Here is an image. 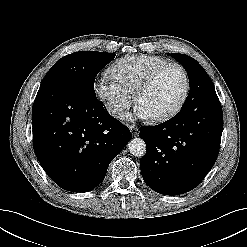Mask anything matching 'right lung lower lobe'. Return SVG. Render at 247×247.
Here are the masks:
<instances>
[{
    "mask_svg": "<svg viewBox=\"0 0 247 247\" xmlns=\"http://www.w3.org/2000/svg\"><path fill=\"white\" fill-rule=\"evenodd\" d=\"M33 145L47 175L71 192L94 189L132 138L95 91L77 80L40 86L32 108Z\"/></svg>",
    "mask_w": 247,
    "mask_h": 247,
    "instance_id": "1",
    "label": "right lung lower lobe"
}]
</instances>
